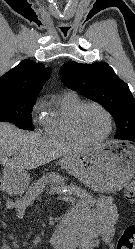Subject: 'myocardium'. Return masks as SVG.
<instances>
[{
    "label": "myocardium",
    "mask_w": 135,
    "mask_h": 249,
    "mask_svg": "<svg viewBox=\"0 0 135 249\" xmlns=\"http://www.w3.org/2000/svg\"><path fill=\"white\" fill-rule=\"evenodd\" d=\"M89 107H95V108L99 109L107 118L108 129H107V132L105 133V135L101 138H98V139L88 138L86 135H84V133L82 132V130L80 128V125H79L80 117H81L83 111ZM72 128H73L75 135L84 144H89V145L99 144V143L107 140L110 137V135L113 131V117H112L111 113L103 105H101L97 102H86V103L81 104L75 110V112L72 116Z\"/></svg>",
    "instance_id": "myocardium-1"
}]
</instances>
